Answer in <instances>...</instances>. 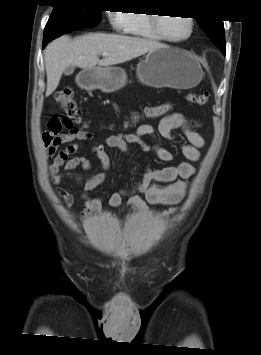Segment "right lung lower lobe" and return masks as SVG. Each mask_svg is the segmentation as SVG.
Listing matches in <instances>:
<instances>
[{"mask_svg":"<svg viewBox=\"0 0 261 355\" xmlns=\"http://www.w3.org/2000/svg\"><path fill=\"white\" fill-rule=\"evenodd\" d=\"M82 27L79 26H66V27H60L57 29H54L52 31H49L47 33H44V38H43V48L53 39L56 37L63 35L65 33H68L70 31H74L77 29H81Z\"/></svg>","mask_w":261,"mask_h":355,"instance_id":"right-lung-lower-lobe-1","label":"right lung lower lobe"}]
</instances>
